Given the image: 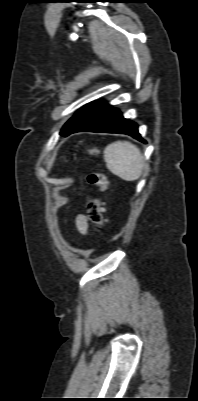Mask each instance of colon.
Segmentation results:
<instances>
[{"label":"colon","mask_w":198,"mask_h":401,"mask_svg":"<svg viewBox=\"0 0 198 401\" xmlns=\"http://www.w3.org/2000/svg\"><path fill=\"white\" fill-rule=\"evenodd\" d=\"M88 152L92 156L98 155L96 148H90ZM87 179L89 184L97 190V193L88 200V216L92 224L97 228H103L107 220L104 216L105 204L101 195L108 189V181L106 176L98 171L90 172Z\"/></svg>","instance_id":"1"}]
</instances>
